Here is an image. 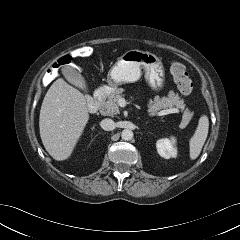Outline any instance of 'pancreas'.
Masks as SVG:
<instances>
[{"instance_id":"obj_1","label":"pancreas","mask_w":240,"mask_h":240,"mask_svg":"<svg viewBox=\"0 0 240 240\" xmlns=\"http://www.w3.org/2000/svg\"><path fill=\"white\" fill-rule=\"evenodd\" d=\"M122 93V88H118L112 91L107 99H104L102 101L100 113L105 116H113L119 114L120 111L118 100L119 98L123 97ZM173 106L183 112L182 124L189 122L193 113L188 108H186L184 100L181 99L180 96L174 91H170L167 97L156 99L154 102H150L147 111L149 113V116H154L158 115L163 109L172 108Z\"/></svg>"}]
</instances>
